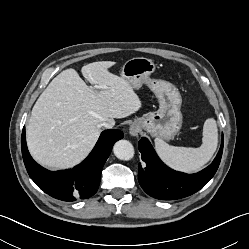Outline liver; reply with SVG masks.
I'll return each mask as SVG.
<instances>
[{
	"instance_id": "liver-1",
	"label": "liver",
	"mask_w": 249,
	"mask_h": 249,
	"mask_svg": "<svg viewBox=\"0 0 249 249\" xmlns=\"http://www.w3.org/2000/svg\"><path fill=\"white\" fill-rule=\"evenodd\" d=\"M112 61L82 67L89 87L74 69L57 75L36 101L26 139L32 157L57 169L71 168L93 149L103 122L114 123L141 108V101L124 78L112 74Z\"/></svg>"
}]
</instances>
